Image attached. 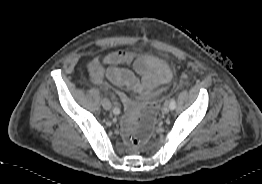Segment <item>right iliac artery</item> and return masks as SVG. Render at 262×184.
<instances>
[{
    "label": "right iliac artery",
    "mask_w": 262,
    "mask_h": 184,
    "mask_svg": "<svg viewBox=\"0 0 262 184\" xmlns=\"http://www.w3.org/2000/svg\"><path fill=\"white\" fill-rule=\"evenodd\" d=\"M113 113H114V114H119V113H120V109L117 108V107H115V108L113 109Z\"/></svg>",
    "instance_id": "right-iliac-artery-1"
}]
</instances>
